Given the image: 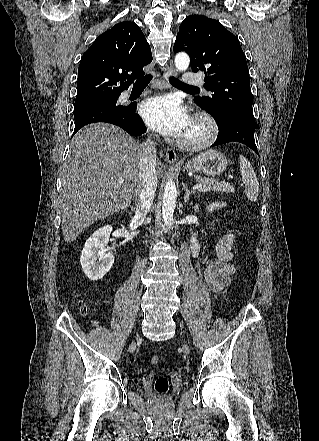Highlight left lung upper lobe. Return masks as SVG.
I'll list each match as a JSON object with an SVG mask.
<instances>
[{"mask_svg": "<svg viewBox=\"0 0 319 441\" xmlns=\"http://www.w3.org/2000/svg\"><path fill=\"white\" fill-rule=\"evenodd\" d=\"M190 56L193 72L205 73L209 97H195L218 124L237 116L255 122L246 57L236 36L218 21L202 15L185 18L173 47Z\"/></svg>", "mask_w": 319, "mask_h": 441, "instance_id": "left-lung-upper-lobe-1", "label": "left lung upper lobe"}]
</instances>
